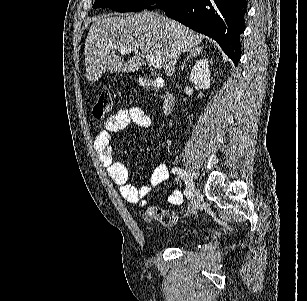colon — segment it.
Segmentation results:
<instances>
[{"label":"colon","mask_w":307,"mask_h":301,"mask_svg":"<svg viewBox=\"0 0 307 301\" xmlns=\"http://www.w3.org/2000/svg\"><path fill=\"white\" fill-rule=\"evenodd\" d=\"M112 107L111 94L108 90L102 91L93 107V115L97 119H102L107 116ZM144 219L148 223H159L163 226H173L176 224L178 217L172 211L168 209H162L159 207H148L144 211Z\"/></svg>","instance_id":"5ec220e1"}]
</instances>
